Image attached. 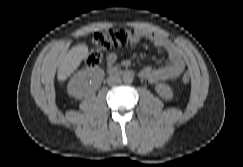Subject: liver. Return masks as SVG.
<instances>
[{"instance_id":"liver-1","label":"liver","mask_w":243,"mask_h":167,"mask_svg":"<svg viewBox=\"0 0 243 167\" xmlns=\"http://www.w3.org/2000/svg\"><path fill=\"white\" fill-rule=\"evenodd\" d=\"M88 55V46L78 44L73 46L64 56L57 73L58 81H65Z\"/></svg>"}]
</instances>
